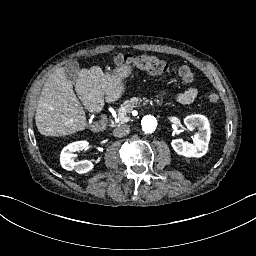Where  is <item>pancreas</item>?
<instances>
[{
    "label": "pancreas",
    "instance_id": "obj_1",
    "mask_svg": "<svg viewBox=\"0 0 256 256\" xmlns=\"http://www.w3.org/2000/svg\"><path fill=\"white\" fill-rule=\"evenodd\" d=\"M138 100H134V101H128L126 103L123 104V108H124V113L125 114H129L132 112L133 108L135 107V103H137ZM120 112V110H119ZM119 122H115V126L117 125H121L124 124L125 122H127L129 120L128 117L122 118L121 116H118Z\"/></svg>",
    "mask_w": 256,
    "mask_h": 256
}]
</instances>
